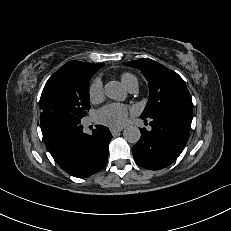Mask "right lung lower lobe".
Returning <instances> with one entry per match:
<instances>
[{"instance_id":"1","label":"right lung lower lobe","mask_w":231,"mask_h":231,"mask_svg":"<svg viewBox=\"0 0 231 231\" xmlns=\"http://www.w3.org/2000/svg\"><path fill=\"white\" fill-rule=\"evenodd\" d=\"M92 133H83V126L79 123L44 137V141L65 172L77 178H85L106 166L108 145L112 139L109 129L102 125H97Z\"/></svg>"}]
</instances>
